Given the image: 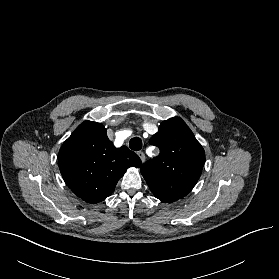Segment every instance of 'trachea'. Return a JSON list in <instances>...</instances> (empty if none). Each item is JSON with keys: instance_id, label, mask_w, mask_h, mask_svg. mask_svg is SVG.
I'll use <instances>...</instances> for the list:
<instances>
[{"instance_id": "trachea-1", "label": "trachea", "mask_w": 279, "mask_h": 279, "mask_svg": "<svg viewBox=\"0 0 279 279\" xmlns=\"http://www.w3.org/2000/svg\"><path fill=\"white\" fill-rule=\"evenodd\" d=\"M129 147L134 151H139L142 148V140L139 137L132 138Z\"/></svg>"}]
</instances>
